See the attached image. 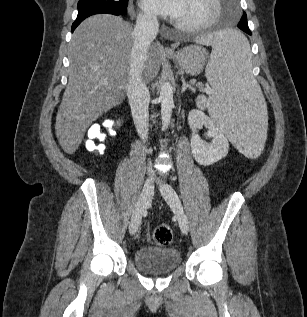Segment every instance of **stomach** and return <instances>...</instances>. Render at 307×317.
Returning <instances> with one entry per match:
<instances>
[{"instance_id": "obj_1", "label": "stomach", "mask_w": 307, "mask_h": 317, "mask_svg": "<svg viewBox=\"0 0 307 317\" xmlns=\"http://www.w3.org/2000/svg\"><path fill=\"white\" fill-rule=\"evenodd\" d=\"M176 62L185 73L199 75L207 62L208 53L205 48L198 45H190L179 51L177 54L168 56Z\"/></svg>"}]
</instances>
